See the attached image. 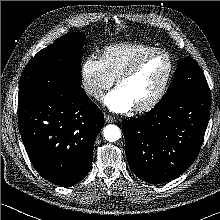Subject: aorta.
<instances>
[{
	"mask_svg": "<svg viewBox=\"0 0 220 220\" xmlns=\"http://www.w3.org/2000/svg\"><path fill=\"white\" fill-rule=\"evenodd\" d=\"M103 134H104L105 139L109 142H115L119 140L121 137V131L119 127L116 125H112V124L104 127Z\"/></svg>",
	"mask_w": 220,
	"mask_h": 220,
	"instance_id": "obj_1",
	"label": "aorta"
}]
</instances>
